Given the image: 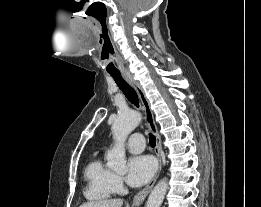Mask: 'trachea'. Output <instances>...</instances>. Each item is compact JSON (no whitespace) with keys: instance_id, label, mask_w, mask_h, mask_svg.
Listing matches in <instances>:
<instances>
[{"instance_id":"trachea-1","label":"trachea","mask_w":261,"mask_h":207,"mask_svg":"<svg viewBox=\"0 0 261 207\" xmlns=\"http://www.w3.org/2000/svg\"><path fill=\"white\" fill-rule=\"evenodd\" d=\"M114 79L117 86L122 90L126 98L135 106L139 107V100L137 93L135 92L134 88L131 87L122 77L120 73L110 74ZM149 143L152 147L156 145V139L153 134L149 135Z\"/></svg>"}]
</instances>
